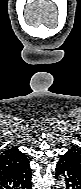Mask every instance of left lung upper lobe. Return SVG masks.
Returning <instances> with one entry per match:
<instances>
[{"label": "left lung upper lobe", "mask_w": 81, "mask_h": 189, "mask_svg": "<svg viewBox=\"0 0 81 189\" xmlns=\"http://www.w3.org/2000/svg\"><path fill=\"white\" fill-rule=\"evenodd\" d=\"M68 156L72 157L75 164L81 168V150L78 148H72L67 153Z\"/></svg>", "instance_id": "1"}]
</instances>
